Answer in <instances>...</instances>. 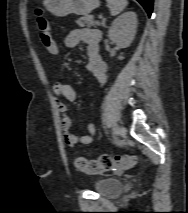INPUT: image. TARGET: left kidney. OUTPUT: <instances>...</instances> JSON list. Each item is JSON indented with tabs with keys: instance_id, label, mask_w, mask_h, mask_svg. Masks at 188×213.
Instances as JSON below:
<instances>
[{
	"instance_id": "1",
	"label": "left kidney",
	"mask_w": 188,
	"mask_h": 213,
	"mask_svg": "<svg viewBox=\"0 0 188 213\" xmlns=\"http://www.w3.org/2000/svg\"><path fill=\"white\" fill-rule=\"evenodd\" d=\"M137 30V15L128 11L117 17L108 32L109 38L119 47L127 48L133 42ZM119 60L123 56L118 57Z\"/></svg>"
}]
</instances>
